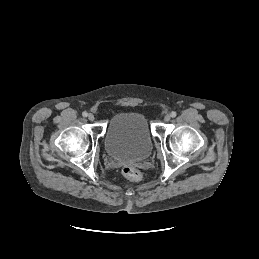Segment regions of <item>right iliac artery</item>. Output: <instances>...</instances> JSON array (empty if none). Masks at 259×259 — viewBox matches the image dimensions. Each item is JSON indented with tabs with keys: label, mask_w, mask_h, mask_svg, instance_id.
Here are the masks:
<instances>
[{
	"label": "right iliac artery",
	"mask_w": 259,
	"mask_h": 259,
	"mask_svg": "<svg viewBox=\"0 0 259 259\" xmlns=\"http://www.w3.org/2000/svg\"><path fill=\"white\" fill-rule=\"evenodd\" d=\"M82 115H83V117H87V116H88V113H87L86 111H84V112L82 113Z\"/></svg>",
	"instance_id": "1"
}]
</instances>
